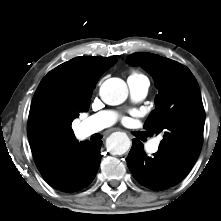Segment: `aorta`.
Here are the masks:
<instances>
[{
	"label": "aorta",
	"mask_w": 221,
	"mask_h": 221,
	"mask_svg": "<svg viewBox=\"0 0 221 221\" xmlns=\"http://www.w3.org/2000/svg\"><path fill=\"white\" fill-rule=\"evenodd\" d=\"M127 96V85L120 78H109L100 87V97L108 105H119L126 100ZM130 145V139L122 132L113 133L107 140L108 150L115 155L125 154Z\"/></svg>",
	"instance_id": "762f6f07"
}]
</instances>
